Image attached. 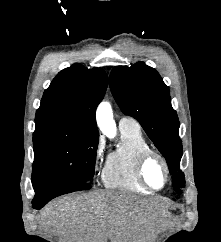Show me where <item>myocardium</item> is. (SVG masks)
Here are the masks:
<instances>
[{"label":"myocardium","instance_id":"1","mask_svg":"<svg viewBox=\"0 0 221 242\" xmlns=\"http://www.w3.org/2000/svg\"><path fill=\"white\" fill-rule=\"evenodd\" d=\"M158 159L165 171V183L162 187L160 188H154L150 185V183L148 182L146 175H145V168L147 163L151 160V159ZM136 173L137 176L139 178V180L141 181V183L147 187L148 189H150L151 191H160L163 190L167 187V185L169 184L170 181V177H171V171H170V166L169 163L167 161V159L158 151L153 150V149H148L145 150L144 152H142L138 159H137V163H136Z\"/></svg>","mask_w":221,"mask_h":242}]
</instances>
